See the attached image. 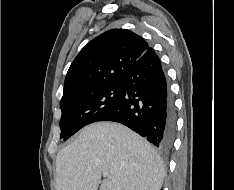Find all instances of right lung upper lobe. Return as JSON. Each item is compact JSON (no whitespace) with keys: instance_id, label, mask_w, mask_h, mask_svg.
Masks as SVG:
<instances>
[{"instance_id":"1","label":"right lung upper lobe","mask_w":234,"mask_h":190,"mask_svg":"<svg viewBox=\"0 0 234 190\" xmlns=\"http://www.w3.org/2000/svg\"><path fill=\"white\" fill-rule=\"evenodd\" d=\"M148 49L142 37L126 29H112L94 38L72 62L61 102L81 92L118 83Z\"/></svg>"}]
</instances>
